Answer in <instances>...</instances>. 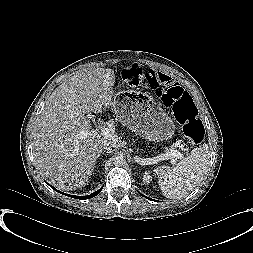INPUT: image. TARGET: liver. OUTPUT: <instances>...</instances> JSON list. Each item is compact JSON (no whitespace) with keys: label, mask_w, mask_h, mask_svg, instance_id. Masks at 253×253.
I'll return each mask as SVG.
<instances>
[{"label":"liver","mask_w":253,"mask_h":253,"mask_svg":"<svg viewBox=\"0 0 253 253\" xmlns=\"http://www.w3.org/2000/svg\"><path fill=\"white\" fill-rule=\"evenodd\" d=\"M112 69L76 71L50 95L35 122L32 147L36 168L57 188L85 186L102 149L110 142L91 129V114L113 105Z\"/></svg>","instance_id":"1"}]
</instances>
